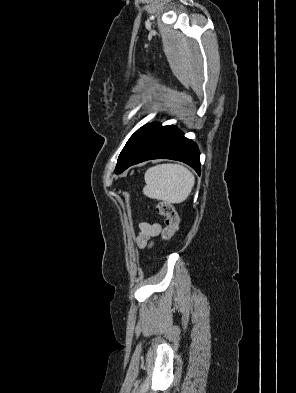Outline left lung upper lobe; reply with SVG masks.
Masks as SVG:
<instances>
[{
  "label": "left lung upper lobe",
  "instance_id": "1",
  "mask_svg": "<svg viewBox=\"0 0 296 393\" xmlns=\"http://www.w3.org/2000/svg\"><path fill=\"white\" fill-rule=\"evenodd\" d=\"M148 127V125H144L143 127H141L140 129H138L127 141L126 145L124 146L123 150L121 151L119 157H118V161H117V165L115 168V172L117 174H119L122 170V168L124 167L130 153L132 152L133 148L135 147L137 141L139 140V138L141 137V135L143 134V132L145 131V129Z\"/></svg>",
  "mask_w": 296,
  "mask_h": 393
}]
</instances>
